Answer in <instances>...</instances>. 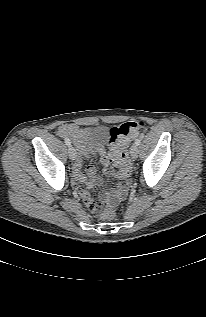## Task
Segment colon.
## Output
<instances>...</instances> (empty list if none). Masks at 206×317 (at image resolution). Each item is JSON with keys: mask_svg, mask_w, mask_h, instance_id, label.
Segmentation results:
<instances>
[{"mask_svg": "<svg viewBox=\"0 0 206 317\" xmlns=\"http://www.w3.org/2000/svg\"><path fill=\"white\" fill-rule=\"evenodd\" d=\"M142 128L143 123L129 121L110 130V141L113 146L112 161L119 167L120 178L128 177L131 172L126 148L128 143L140 134ZM93 212L104 219L115 217L114 209L102 204H96Z\"/></svg>", "mask_w": 206, "mask_h": 317, "instance_id": "1", "label": "colon"}]
</instances>
